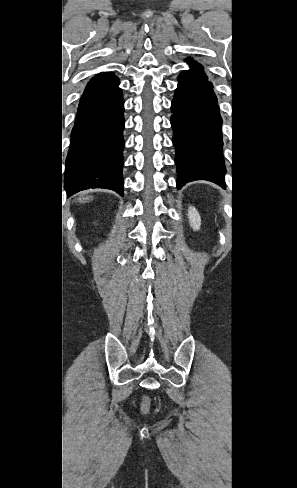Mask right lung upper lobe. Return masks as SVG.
<instances>
[{
  "label": "right lung upper lobe",
  "mask_w": 297,
  "mask_h": 488,
  "mask_svg": "<svg viewBox=\"0 0 297 488\" xmlns=\"http://www.w3.org/2000/svg\"><path fill=\"white\" fill-rule=\"evenodd\" d=\"M115 77L112 72H101L97 76H95L86 86L85 91L83 93L84 95H87L94 90L98 89L103 83L108 81L109 79Z\"/></svg>",
  "instance_id": "right-lung-upper-lobe-1"
}]
</instances>
